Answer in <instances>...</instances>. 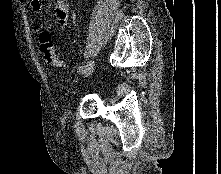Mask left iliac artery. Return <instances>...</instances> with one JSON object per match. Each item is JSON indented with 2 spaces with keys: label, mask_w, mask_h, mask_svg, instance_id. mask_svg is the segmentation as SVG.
I'll return each instance as SVG.
<instances>
[{
  "label": "left iliac artery",
  "mask_w": 221,
  "mask_h": 174,
  "mask_svg": "<svg viewBox=\"0 0 221 174\" xmlns=\"http://www.w3.org/2000/svg\"><path fill=\"white\" fill-rule=\"evenodd\" d=\"M84 68H85L84 66H79L77 70L78 73H82L84 71Z\"/></svg>",
  "instance_id": "44dca946"
}]
</instances>
